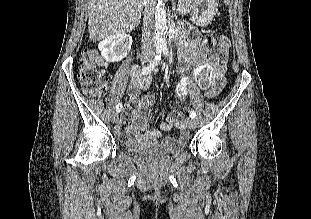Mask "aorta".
<instances>
[{
    "instance_id": "762f6f07",
    "label": "aorta",
    "mask_w": 311,
    "mask_h": 219,
    "mask_svg": "<svg viewBox=\"0 0 311 219\" xmlns=\"http://www.w3.org/2000/svg\"><path fill=\"white\" fill-rule=\"evenodd\" d=\"M166 9L163 0H158L155 8V46L157 49H165L166 41Z\"/></svg>"
}]
</instances>
